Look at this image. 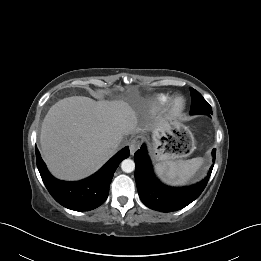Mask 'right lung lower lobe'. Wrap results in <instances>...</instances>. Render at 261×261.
<instances>
[{"instance_id":"right-lung-lower-lobe-1","label":"right lung lower lobe","mask_w":261,"mask_h":261,"mask_svg":"<svg viewBox=\"0 0 261 261\" xmlns=\"http://www.w3.org/2000/svg\"><path fill=\"white\" fill-rule=\"evenodd\" d=\"M129 155V148L125 147L92 176L77 182H66L48 172L36 148L37 167L49 193L59 204L75 211H89L105 202L115 170Z\"/></svg>"}]
</instances>
